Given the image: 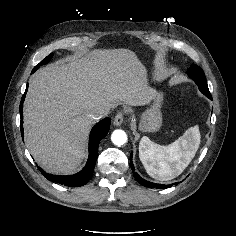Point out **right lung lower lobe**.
I'll return each mask as SVG.
<instances>
[{
	"mask_svg": "<svg viewBox=\"0 0 236 236\" xmlns=\"http://www.w3.org/2000/svg\"><path fill=\"white\" fill-rule=\"evenodd\" d=\"M26 92H27V87H26V91H25V93L21 99V102H20L22 138H23V134H24L23 127H22V124H23V102L25 99ZM110 123H111V119L105 118L93 127V129L90 133V138H89L88 161L86 163V166L79 173L74 174V175H70V176L50 175V174H47L41 168H39L41 173L48 180H51L53 182L63 184L65 186H69V187H79V186L86 184L90 180V178L92 177V174H93V170H94L96 159H97L99 141L107 135L109 128H110Z\"/></svg>",
	"mask_w": 236,
	"mask_h": 236,
	"instance_id": "right-lung-lower-lobe-1",
	"label": "right lung lower lobe"
}]
</instances>
